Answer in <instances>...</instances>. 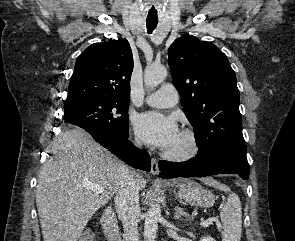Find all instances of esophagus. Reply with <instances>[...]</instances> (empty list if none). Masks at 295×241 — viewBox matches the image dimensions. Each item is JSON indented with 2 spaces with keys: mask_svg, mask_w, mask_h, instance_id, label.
Segmentation results:
<instances>
[{
  "mask_svg": "<svg viewBox=\"0 0 295 241\" xmlns=\"http://www.w3.org/2000/svg\"><path fill=\"white\" fill-rule=\"evenodd\" d=\"M151 173L153 175H158L159 174L158 161L155 158L151 159Z\"/></svg>",
  "mask_w": 295,
  "mask_h": 241,
  "instance_id": "obj_1",
  "label": "esophagus"
}]
</instances>
